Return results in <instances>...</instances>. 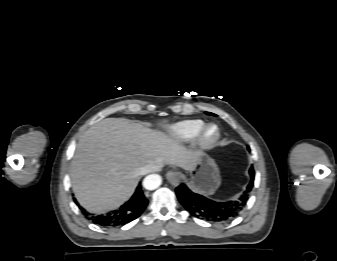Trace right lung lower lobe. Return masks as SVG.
<instances>
[{
  "mask_svg": "<svg viewBox=\"0 0 337 261\" xmlns=\"http://www.w3.org/2000/svg\"><path fill=\"white\" fill-rule=\"evenodd\" d=\"M78 205V203L76 202ZM148 204V200L145 198L141 185H139L132 196V198L122 205L118 210L112 211L106 215L94 216L85 212L82 207H79L84 215L90 219L93 223L104 226V227H116L125 225L132 220L139 217L145 210Z\"/></svg>",
  "mask_w": 337,
  "mask_h": 261,
  "instance_id": "obj_1",
  "label": "right lung lower lobe"
}]
</instances>
